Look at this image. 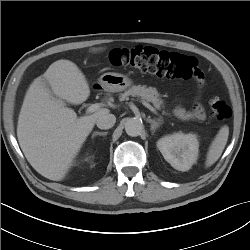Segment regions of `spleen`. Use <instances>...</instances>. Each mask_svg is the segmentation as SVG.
<instances>
[{"mask_svg": "<svg viewBox=\"0 0 250 250\" xmlns=\"http://www.w3.org/2000/svg\"><path fill=\"white\" fill-rule=\"evenodd\" d=\"M229 136V127L227 125L220 128L214 140L212 141L206 156L205 166L210 167L221 156Z\"/></svg>", "mask_w": 250, "mask_h": 250, "instance_id": "3e777b00", "label": "spleen"}]
</instances>
